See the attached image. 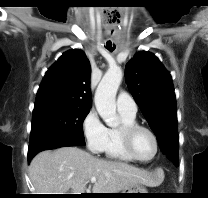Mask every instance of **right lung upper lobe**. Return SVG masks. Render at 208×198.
<instances>
[{"instance_id": "cb5924a9", "label": "right lung upper lobe", "mask_w": 208, "mask_h": 198, "mask_svg": "<svg viewBox=\"0 0 208 198\" xmlns=\"http://www.w3.org/2000/svg\"><path fill=\"white\" fill-rule=\"evenodd\" d=\"M90 73L89 60L82 50L65 52L46 72L34 108L54 104L90 108Z\"/></svg>"}]
</instances>
